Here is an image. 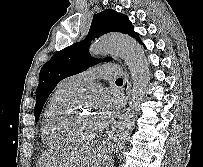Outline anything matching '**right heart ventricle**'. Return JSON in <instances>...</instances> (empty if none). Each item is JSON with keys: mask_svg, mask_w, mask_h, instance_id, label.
Wrapping results in <instances>:
<instances>
[{"mask_svg": "<svg viewBox=\"0 0 203 167\" xmlns=\"http://www.w3.org/2000/svg\"><path fill=\"white\" fill-rule=\"evenodd\" d=\"M77 89L67 84L60 83L56 90L49 97L40 124V135L44 144L48 146H59L69 143L68 140L56 134L51 122L56 113L66 104L69 98Z\"/></svg>", "mask_w": 203, "mask_h": 167, "instance_id": "1", "label": "right heart ventricle"}]
</instances>
